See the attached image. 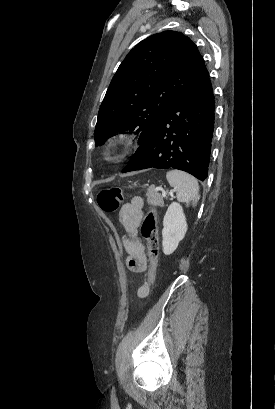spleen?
<instances>
[{
    "instance_id": "1",
    "label": "spleen",
    "mask_w": 275,
    "mask_h": 409,
    "mask_svg": "<svg viewBox=\"0 0 275 409\" xmlns=\"http://www.w3.org/2000/svg\"><path fill=\"white\" fill-rule=\"evenodd\" d=\"M166 176L170 186H174L176 190L177 200L187 202V205L192 200L193 207H196L199 200V184L196 178L183 170H168Z\"/></svg>"
}]
</instances>
